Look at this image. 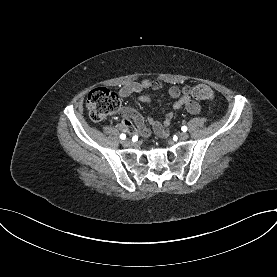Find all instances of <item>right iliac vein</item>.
Wrapping results in <instances>:
<instances>
[{
  "label": "right iliac vein",
  "mask_w": 277,
  "mask_h": 277,
  "mask_svg": "<svg viewBox=\"0 0 277 277\" xmlns=\"http://www.w3.org/2000/svg\"><path fill=\"white\" fill-rule=\"evenodd\" d=\"M132 141L130 140V139H125V140H123L122 141V145L124 146V147H130V146H132Z\"/></svg>",
  "instance_id": "1"
}]
</instances>
